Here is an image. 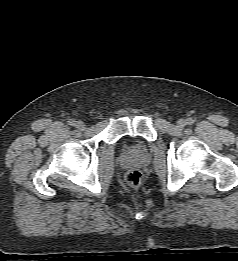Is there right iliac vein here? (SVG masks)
<instances>
[{"label": "right iliac vein", "mask_w": 238, "mask_h": 261, "mask_svg": "<svg viewBox=\"0 0 238 261\" xmlns=\"http://www.w3.org/2000/svg\"><path fill=\"white\" fill-rule=\"evenodd\" d=\"M76 127L79 129V130H84L85 129V123L83 121H77L76 122Z\"/></svg>", "instance_id": "1"}]
</instances>
